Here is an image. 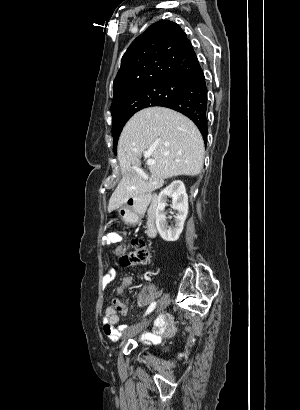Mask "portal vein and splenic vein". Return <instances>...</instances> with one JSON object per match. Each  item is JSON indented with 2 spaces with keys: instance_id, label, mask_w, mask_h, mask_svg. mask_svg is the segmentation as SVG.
I'll return each instance as SVG.
<instances>
[{
  "instance_id": "portal-vein-and-splenic-vein-1",
  "label": "portal vein and splenic vein",
  "mask_w": 300,
  "mask_h": 410,
  "mask_svg": "<svg viewBox=\"0 0 300 410\" xmlns=\"http://www.w3.org/2000/svg\"><path fill=\"white\" fill-rule=\"evenodd\" d=\"M150 155H151V152H145V153H144V157H145V159H147V164H148V165H153V164H155L156 162H155L154 160H152V159H149V158H150Z\"/></svg>"
}]
</instances>
